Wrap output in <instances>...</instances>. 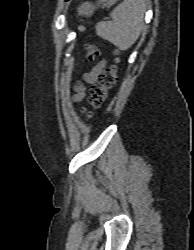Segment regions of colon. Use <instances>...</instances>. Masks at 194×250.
<instances>
[{
	"label": "colon",
	"mask_w": 194,
	"mask_h": 250,
	"mask_svg": "<svg viewBox=\"0 0 194 250\" xmlns=\"http://www.w3.org/2000/svg\"><path fill=\"white\" fill-rule=\"evenodd\" d=\"M99 55V47L89 45L86 47V57L89 61L94 60ZM116 63H119L117 59ZM113 65L104 69L98 76L96 84L90 89L89 104L92 108H98L106 99L108 91L114 86L117 80L118 65ZM88 114L89 111L85 110Z\"/></svg>",
	"instance_id": "1"
}]
</instances>
